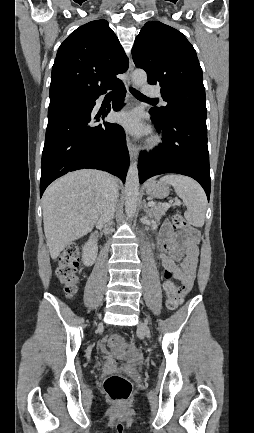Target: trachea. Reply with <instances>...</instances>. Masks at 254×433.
<instances>
[{
  "label": "trachea",
  "mask_w": 254,
  "mask_h": 433,
  "mask_svg": "<svg viewBox=\"0 0 254 433\" xmlns=\"http://www.w3.org/2000/svg\"><path fill=\"white\" fill-rule=\"evenodd\" d=\"M130 92L132 93V95H134L138 99L157 101L156 99L147 98L145 95H143L142 93H140L139 91H137V90H135L133 88H130Z\"/></svg>",
  "instance_id": "1"
}]
</instances>
